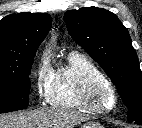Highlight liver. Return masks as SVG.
I'll use <instances>...</instances> for the list:
<instances>
[{
    "mask_svg": "<svg viewBox=\"0 0 142 128\" xmlns=\"http://www.w3.org/2000/svg\"><path fill=\"white\" fill-rule=\"evenodd\" d=\"M88 115L65 108H39L0 116V128H73Z\"/></svg>",
    "mask_w": 142,
    "mask_h": 128,
    "instance_id": "1",
    "label": "liver"
}]
</instances>
